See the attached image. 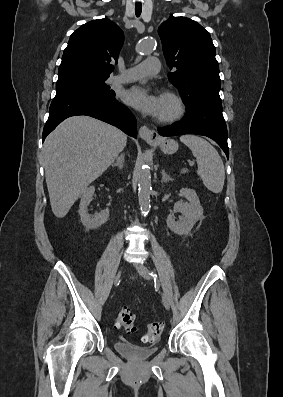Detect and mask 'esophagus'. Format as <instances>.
I'll return each instance as SVG.
<instances>
[{
  "instance_id": "34e87169",
  "label": "esophagus",
  "mask_w": 283,
  "mask_h": 397,
  "mask_svg": "<svg viewBox=\"0 0 283 397\" xmlns=\"http://www.w3.org/2000/svg\"><path fill=\"white\" fill-rule=\"evenodd\" d=\"M139 136L148 143H154L159 138L155 130H151L145 125L140 127Z\"/></svg>"
}]
</instances>
